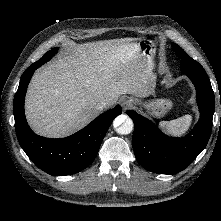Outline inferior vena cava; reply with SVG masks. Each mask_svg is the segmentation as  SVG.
<instances>
[{"instance_id":"obj_1","label":"inferior vena cava","mask_w":221,"mask_h":221,"mask_svg":"<svg viewBox=\"0 0 221 221\" xmlns=\"http://www.w3.org/2000/svg\"><path fill=\"white\" fill-rule=\"evenodd\" d=\"M107 105H108V101L106 99L102 98L97 102L96 107H97V109L102 110Z\"/></svg>"}]
</instances>
